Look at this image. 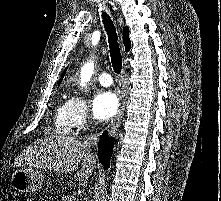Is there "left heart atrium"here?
Listing matches in <instances>:
<instances>
[{"mask_svg":"<svg viewBox=\"0 0 221 201\" xmlns=\"http://www.w3.org/2000/svg\"><path fill=\"white\" fill-rule=\"evenodd\" d=\"M119 107V100L111 91H100L93 101V114L96 119L106 121L113 117Z\"/></svg>","mask_w":221,"mask_h":201,"instance_id":"1","label":"left heart atrium"}]
</instances>
